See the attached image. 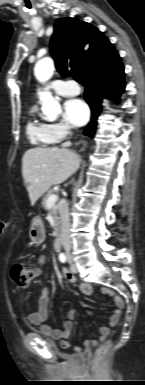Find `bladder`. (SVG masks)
<instances>
[{"label": "bladder", "mask_w": 145, "mask_h": 385, "mask_svg": "<svg viewBox=\"0 0 145 385\" xmlns=\"http://www.w3.org/2000/svg\"><path fill=\"white\" fill-rule=\"evenodd\" d=\"M48 342L51 344V345H54V343L51 341V340H48ZM77 357H80L79 361H85V357L83 355H77Z\"/></svg>", "instance_id": "bladder-1"}]
</instances>
